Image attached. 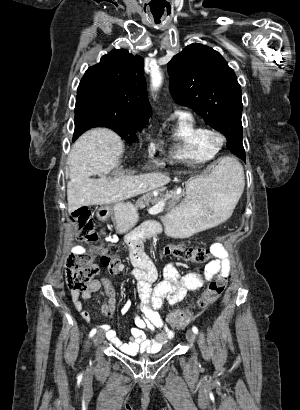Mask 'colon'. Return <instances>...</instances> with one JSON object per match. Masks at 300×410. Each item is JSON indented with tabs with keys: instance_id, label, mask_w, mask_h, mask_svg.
Returning <instances> with one entry per match:
<instances>
[{
	"instance_id": "1",
	"label": "colon",
	"mask_w": 300,
	"mask_h": 410,
	"mask_svg": "<svg viewBox=\"0 0 300 410\" xmlns=\"http://www.w3.org/2000/svg\"><path fill=\"white\" fill-rule=\"evenodd\" d=\"M72 221L79 228V238L87 243L97 242L98 233L95 230L88 208L81 207L72 214ZM165 255H171L178 259L197 264L207 263L212 255L211 247H194L189 245H166L162 249ZM101 262L111 273H120L124 266L121 258L114 254H104ZM97 267L91 259L84 254L72 255L68 258L66 267V282L71 292L84 291L90 280L96 275ZM226 280L216 279L212 281L198 301L201 308L215 302L223 293ZM191 319V313L186 310L174 311L168 321L172 327L181 328L186 326Z\"/></svg>"
}]
</instances>
